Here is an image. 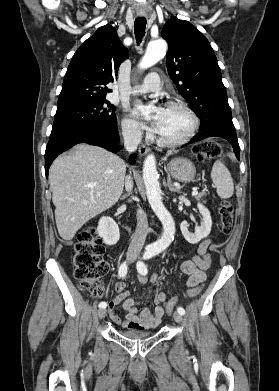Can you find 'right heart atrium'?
I'll use <instances>...</instances> for the list:
<instances>
[{
  "label": "right heart atrium",
  "mask_w": 279,
  "mask_h": 391,
  "mask_svg": "<svg viewBox=\"0 0 279 391\" xmlns=\"http://www.w3.org/2000/svg\"><path fill=\"white\" fill-rule=\"evenodd\" d=\"M122 131L124 136L131 141H137L144 133V127L130 116H124L122 119Z\"/></svg>",
  "instance_id": "d8ad5b80"
}]
</instances>
